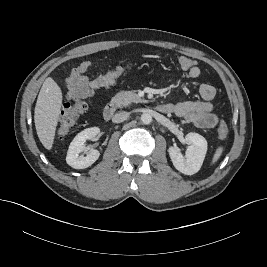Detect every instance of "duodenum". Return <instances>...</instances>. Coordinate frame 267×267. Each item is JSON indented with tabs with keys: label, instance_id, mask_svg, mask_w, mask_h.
<instances>
[{
	"label": "duodenum",
	"instance_id": "410a0bca",
	"mask_svg": "<svg viewBox=\"0 0 267 267\" xmlns=\"http://www.w3.org/2000/svg\"><path fill=\"white\" fill-rule=\"evenodd\" d=\"M117 110V104L115 102H109L106 104L103 110V116L106 120L113 117ZM157 110L161 113H170L172 111V106L170 104H160L157 106Z\"/></svg>",
	"mask_w": 267,
	"mask_h": 267
}]
</instances>
